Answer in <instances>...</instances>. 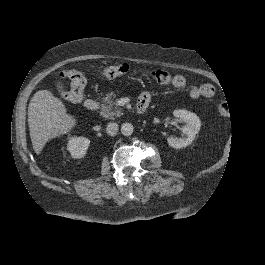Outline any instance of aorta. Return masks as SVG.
<instances>
[{"label": "aorta", "mask_w": 265, "mask_h": 265, "mask_svg": "<svg viewBox=\"0 0 265 265\" xmlns=\"http://www.w3.org/2000/svg\"><path fill=\"white\" fill-rule=\"evenodd\" d=\"M133 131H134L133 125L128 122L124 123L121 127V133L124 136L132 135Z\"/></svg>", "instance_id": "aorta-1"}]
</instances>
